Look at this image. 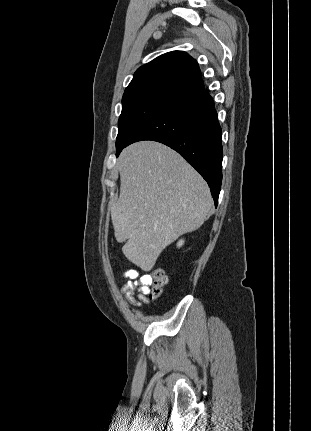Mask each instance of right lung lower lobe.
<instances>
[{"label":"right lung lower lobe","mask_w":311,"mask_h":431,"mask_svg":"<svg viewBox=\"0 0 311 431\" xmlns=\"http://www.w3.org/2000/svg\"><path fill=\"white\" fill-rule=\"evenodd\" d=\"M221 134L213 100L202 88L157 112L132 134L126 146L153 140L171 147L207 181L217 206L222 181Z\"/></svg>","instance_id":"right-lung-lower-lobe-1"}]
</instances>
